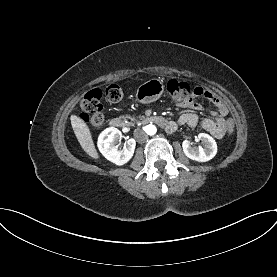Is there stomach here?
I'll return each instance as SVG.
<instances>
[{
    "mask_svg": "<svg viewBox=\"0 0 277 277\" xmlns=\"http://www.w3.org/2000/svg\"><path fill=\"white\" fill-rule=\"evenodd\" d=\"M164 92V84L161 79L152 78L141 84L136 90V100L143 104L158 100Z\"/></svg>",
    "mask_w": 277,
    "mask_h": 277,
    "instance_id": "0dacf381",
    "label": "stomach"
}]
</instances>
